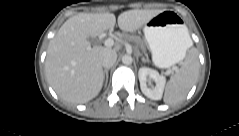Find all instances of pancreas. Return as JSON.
Masks as SVG:
<instances>
[{
	"label": "pancreas",
	"mask_w": 239,
	"mask_h": 136,
	"mask_svg": "<svg viewBox=\"0 0 239 136\" xmlns=\"http://www.w3.org/2000/svg\"><path fill=\"white\" fill-rule=\"evenodd\" d=\"M124 38L130 42H132V41L139 42L140 41L138 37L132 36V35H125Z\"/></svg>",
	"instance_id": "obj_1"
}]
</instances>
